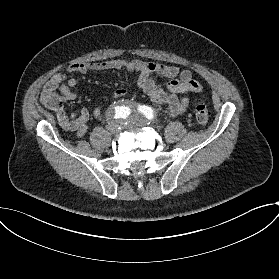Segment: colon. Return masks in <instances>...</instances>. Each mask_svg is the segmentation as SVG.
Here are the masks:
<instances>
[{
	"mask_svg": "<svg viewBox=\"0 0 279 279\" xmlns=\"http://www.w3.org/2000/svg\"><path fill=\"white\" fill-rule=\"evenodd\" d=\"M209 119V112L204 103H198L195 108V120L198 125L204 126Z\"/></svg>",
	"mask_w": 279,
	"mask_h": 279,
	"instance_id": "5ec220e1",
	"label": "colon"
}]
</instances>
